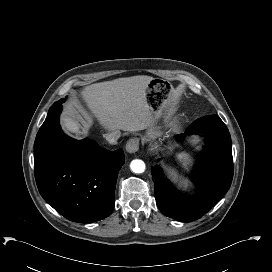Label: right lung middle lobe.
Listing matches in <instances>:
<instances>
[{"instance_id":"1","label":"right lung middle lobe","mask_w":272,"mask_h":272,"mask_svg":"<svg viewBox=\"0 0 272 272\" xmlns=\"http://www.w3.org/2000/svg\"><path fill=\"white\" fill-rule=\"evenodd\" d=\"M59 101L63 103V102H64V99H61V100H59Z\"/></svg>"}]
</instances>
